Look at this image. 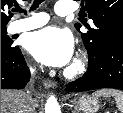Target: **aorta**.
Masks as SVG:
<instances>
[{
  "mask_svg": "<svg viewBox=\"0 0 123 113\" xmlns=\"http://www.w3.org/2000/svg\"><path fill=\"white\" fill-rule=\"evenodd\" d=\"M45 113H61L59 103L55 96L51 95L45 104Z\"/></svg>",
  "mask_w": 123,
  "mask_h": 113,
  "instance_id": "1",
  "label": "aorta"
}]
</instances>
